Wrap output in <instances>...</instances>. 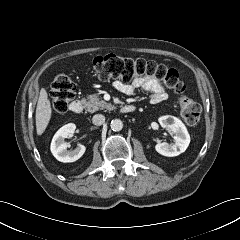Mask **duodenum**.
I'll list each match as a JSON object with an SVG mask.
<instances>
[{"label": "duodenum", "mask_w": 240, "mask_h": 240, "mask_svg": "<svg viewBox=\"0 0 240 240\" xmlns=\"http://www.w3.org/2000/svg\"><path fill=\"white\" fill-rule=\"evenodd\" d=\"M83 109V104L81 102V100L79 99H74L73 101H71L70 105H69V110L74 113V114H79L82 112ZM135 110V106L134 105H124L120 108V111L122 113H132Z\"/></svg>", "instance_id": "obj_1"}]
</instances>
